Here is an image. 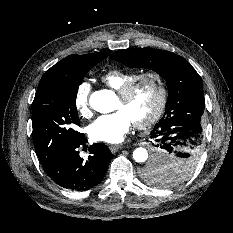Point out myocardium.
I'll list each match as a JSON object with an SVG mask.
<instances>
[{"instance_id": "obj_1", "label": "myocardium", "mask_w": 233, "mask_h": 233, "mask_svg": "<svg viewBox=\"0 0 233 233\" xmlns=\"http://www.w3.org/2000/svg\"><path fill=\"white\" fill-rule=\"evenodd\" d=\"M145 79H151L155 82L158 91V96L156 105L151 114L144 120L134 122V125L138 129L142 130L152 127L161 118L167 106L168 90L163 75L157 71H144L139 74H136L133 78H131L117 90L118 97L125 100L129 98V96L131 95L135 87L138 85V83Z\"/></svg>"}]
</instances>
